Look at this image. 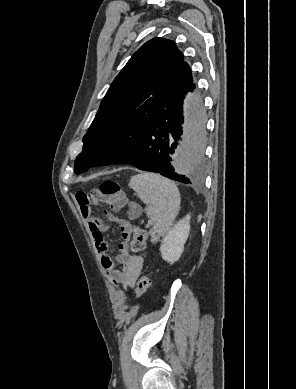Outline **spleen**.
<instances>
[{"mask_svg":"<svg viewBox=\"0 0 296 389\" xmlns=\"http://www.w3.org/2000/svg\"><path fill=\"white\" fill-rule=\"evenodd\" d=\"M128 185L147 205L146 215L154 223L151 242H158L170 230L179 213L181 198L177 185L155 173L137 174L131 177Z\"/></svg>","mask_w":296,"mask_h":389,"instance_id":"1","label":"spleen"}]
</instances>
